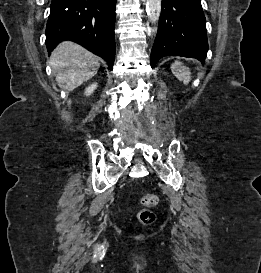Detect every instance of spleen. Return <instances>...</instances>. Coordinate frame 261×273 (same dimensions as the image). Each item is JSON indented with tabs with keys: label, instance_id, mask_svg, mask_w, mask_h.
Here are the masks:
<instances>
[{
	"label": "spleen",
	"instance_id": "spleen-1",
	"mask_svg": "<svg viewBox=\"0 0 261 273\" xmlns=\"http://www.w3.org/2000/svg\"><path fill=\"white\" fill-rule=\"evenodd\" d=\"M173 74L185 85H188L191 80V72L188 67L184 66L181 62L175 61L171 65Z\"/></svg>",
	"mask_w": 261,
	"mask_h": 273
}]
</instances>
